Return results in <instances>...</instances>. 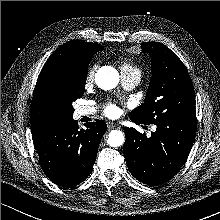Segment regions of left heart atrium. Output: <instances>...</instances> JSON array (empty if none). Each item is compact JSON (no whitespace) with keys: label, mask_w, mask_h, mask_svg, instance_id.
<instances>
[{"label":"left heart atrium","mask_w":220,"mask_h":220,"mask_svg":"<svg viewBox=\"0 0 220 220\" xmlns=\"http://www.w3.org/2000/svg\"><path fill=\"white\" fill-rule=\"evenodd\" d=\"M104 113L108 117H114L119 113V108L115 103H108L104 107Z\"/></svg>","instance_id":"39dd6f15"}]
</instances>
